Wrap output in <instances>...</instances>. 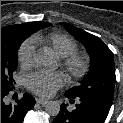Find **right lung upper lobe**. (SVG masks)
Listing matches in <instances>:
<instances>
[{"mask_svg": "<svg viewBox=\"0 0 123 123\" xmlns=\"http://www.w3.org/2000/svg\"><path fill=\"white\" fill-rule=\"evenodd\" d=\"M31 23V22H30ZM29 23L21 24V25H10L1 28V39L7 38L13 31L19 29L23 25H27Z\"/></svg>", "mask_w": 123, "mask_h": 123, "instance_id": "obj_1", "label": "right lung upper lobe"}]
</instances>
